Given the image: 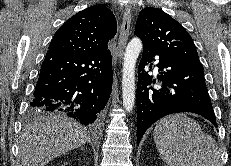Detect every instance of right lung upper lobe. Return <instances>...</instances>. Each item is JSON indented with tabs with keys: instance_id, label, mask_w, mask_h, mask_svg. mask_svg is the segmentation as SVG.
Returning a JSON list of instances; mask_svg holds the SVG:
<instances>
[{
	"instance_id": "right-lung-upper-lobe-1",
	"label": "right lung upper lobe",
	"mask_w": 231,
	"mask_h": 166,
	"mask_svg": "<svg viewBox=\"0 0 231 166\" xmlns=\"http://www.w3.org/2000/svg\"><path fill=\"white\" fill-rule=\"evenodd\" d=\"M116 31L113 13L103 5H94L69 18L54 34L48 51L101 53L108 49V42Z\"/></svg>"
}]
</instances>
